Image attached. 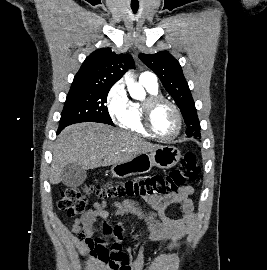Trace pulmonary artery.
<instances>
[{
  "instance_id": "e3ab8cb5",
  "label": "pulmonary artery",
  "mask_w": 267,
  "mask_h": 270,
  "mask_svg": "<svg viewBox=\"0 0 267 270\" xmlns=\"http://www.w3.org/2000/svg\"><path fill=\"white\" fill-rule=\"evenodd\" d=\"M139 79L142 82L150 83L153 85H158L156 75L152 72H149V71L142 72L140 74Z\"/></svg>"
}]
</instances>
